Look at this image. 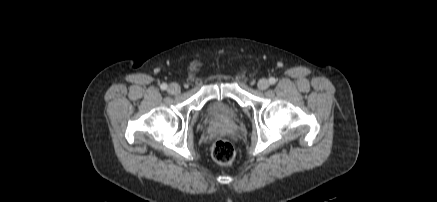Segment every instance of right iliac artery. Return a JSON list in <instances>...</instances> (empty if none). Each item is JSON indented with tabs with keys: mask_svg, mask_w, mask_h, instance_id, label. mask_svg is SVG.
Instances as JSON below:
<instances>
[{
	"mask_svg": "<svg viewBox=\"0 0 437 202\" xmlns=\"http://www.w3.org/2000/svg\"><path fill=\"white\" fill-rule=\"evenodd\" d=\"M160 88H161L162 90L167 89V84H166V83L161 84Z\"/></svg>",
	"mask_w": 437,
	"mask_h": 202,
	"instance_id": "1",
	"label": "right iliac artery"
}]
</instances>
